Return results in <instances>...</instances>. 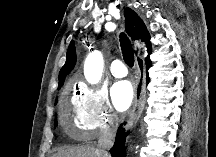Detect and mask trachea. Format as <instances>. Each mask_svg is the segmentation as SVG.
Listing matches in <instances>:
<instances>
[{
	"label": "trachea",
	"mask_w": 216,
	"mask_h": 157,
	"mask_svg": "<svg viewBox=\"0 0 216 157\" xmlns=\"http://www.w3.org/2000/svg\"><path fill=\"white\" fill-rule=\"evenodd\" d=\"M120 46L125 63L132 67L134 65V51L129 38L125 33L120 34Z\"/></svg>",
	"instance_id": "3493384b"
}]
</instances>
